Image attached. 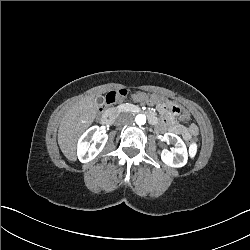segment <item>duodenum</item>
I'll return each mask as SVG.
<instances>
[{
  "label": "duodenum",
  "mask_w": 250,
  "mask_h": 250,
  "mask_svg": "<svg viewBox=\"0 0 250 250\" xmlns=\"http://www.w3.org/2000/svg\"><path fill=\"white\" fill-rule=\"evenodd\" d=\"M102 123L105 125H111L113 123V112L108 111L102 117Z\"/></svg>",
  "instance_id": "obj_1"
}]
</instances>
